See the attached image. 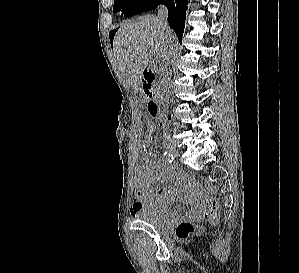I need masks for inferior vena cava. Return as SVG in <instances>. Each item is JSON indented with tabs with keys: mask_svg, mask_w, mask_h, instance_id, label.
I'll return each mask as SVG.
<instances>
[{
	"mask_svg": "<svg viewBox=\"0 0 299 273\" xmlns=\"http://www.w3.org/2000/svg\"><path fill=\"white\" fill-rule=\"evenodd\" d=\"M167 16H168L167 8L164 7V6L159 7L158 17L157 18H158L159 23L162 26L164 31H166L169 28L168 22H167ZM167 42H168V44H167L166 49L164 51L162 64H161V67H160V86H161V92L163 94H165L167 92V88H168V85H167V76H168L167 66H168V60L170 58L171 50H172V46H173V45L170 44L169 40ZM165 99L167 101V99H168L167 96L165 97Z\"/></svg>",
	"mask_w": 299,
	"mask_h": 273,
	"instance_id": "obj_1",
	"label": "inferior vena cava"
}]
</instances>
